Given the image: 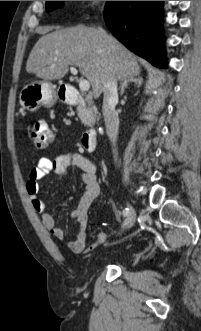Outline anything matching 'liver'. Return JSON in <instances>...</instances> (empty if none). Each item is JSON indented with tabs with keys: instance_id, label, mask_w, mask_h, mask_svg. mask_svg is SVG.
<instances>
[{
	"instance_id": "liver-1",
	"label": "liver",
	"mask_w": 201,
	"mask_h": 331,
	"mask_svg": "<svg viewBox=\"0 0 201 331\" xmlns=\"http://www.w3.org/2000/svg\"><path fill=\"white\" fill-rule=\"evenodd\" d=\"M77 66L98 98L111 79L140 73L135 56L113 36L86 26L59 29L42 36L33 47L26 71L45 81L58 80Z\"/></svg>"
}]
</instances>
